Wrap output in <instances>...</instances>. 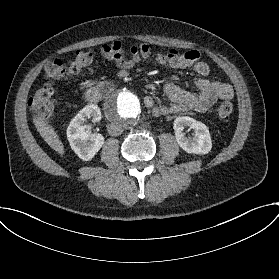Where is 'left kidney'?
<instances>
[{"instance_id":"obj_1","label":"left kidney","mask_w":279,"mask_h":279,"mask_svg":"<svg viewBox=\"0 0 279 279\" xmlns=\"http://www.w3.org/2000/svg\"><path fill=\"white\" fill-rule=\"evenodd\" d=\"M184 127L193 130V138H187L184 133ZM176 134V142L186 153L195 155L208 154L212 149V139L208 127L201 121L191 117H178L173 123Z\"/></svg>"}]
</instances>
